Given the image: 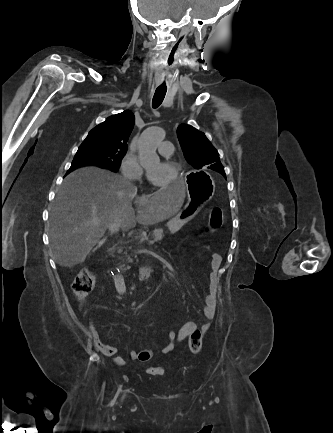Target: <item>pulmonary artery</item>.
Instances as JSON below:
<instances>
[{
	"label": "pulmonary artery",
	"instance_id": "pulmonary-artery-1",
	"mask_svg": "<svg viewBox=\"0 0 333 433\" xmlns=\"http://www.w3.org/2000/svg\"><path fill=\"white\" fill-rule=\"evenodd\" d=\"M158 151L163 156H170L173 153V145L169 141H163L159 144Z\"/></svg>",
	"mask_w": 333,
	"mask_h": 433
}]
</instances>
